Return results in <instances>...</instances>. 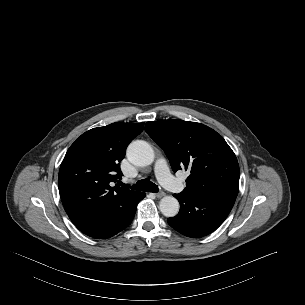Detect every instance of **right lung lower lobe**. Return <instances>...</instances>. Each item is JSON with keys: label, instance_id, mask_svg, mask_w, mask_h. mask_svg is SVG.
<instances>
[{"label": "right lung lower lobe", "instance_id": "right-lung-lower-lobe-1", "mask_svg": "<svg viewBox=\"0 0 305 305\" xmlns=\"http://www.w3.org/2000/svg\"><path fill=\"white\" fill-rule=\"evenodd\" d=\"M145 197L143 192H138L132 200L112 211L108 215L99 216L91 221L77 224L76 227L84 234L97 238H109L125 229L132 222L137 204Z\"/></svg>", "mask_w": 305, "mask_h": 305}]
</instances>
